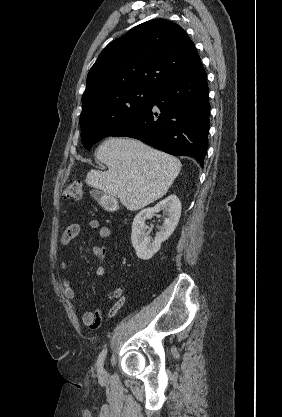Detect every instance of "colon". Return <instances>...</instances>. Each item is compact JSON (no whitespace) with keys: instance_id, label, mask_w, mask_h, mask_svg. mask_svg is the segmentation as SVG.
I'll use <instances>...</instances> for the list:
<instances>
[{"instance_id":"colon-1","label":"colon","mask_w":282,"mask_h":417,"mask_svg":"<svg viewBox=\"0 0 282 417\" xmlns=\"http://www.w3.org/2000/svg\"><path fill=\"white\" fill-rule=\"evenodd\" d=\"M82 194L81 184L78 182H70L65 186L64 196L70 199H79ZM95 255H98V252H95Z\"/></svg>"}]
</instances>
